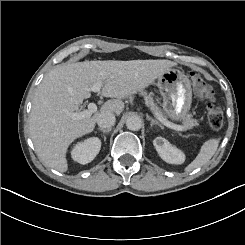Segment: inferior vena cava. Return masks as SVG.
<instances>
[{"label":"inferior vena cava","mask_w":245,"mask_h":245,"mask_svg":"<svg viewBox=\"0 0 245 245\" xmlns=\"http://www.w3.org/2000/svg\"><path fill=\"white\" fill-rule=\"evenodd\" d=\"M115 123V115L111 111H102L97 115V124L101 128H110Z\"/></svg>","instance_id":"obj_1"}]
</instances>
